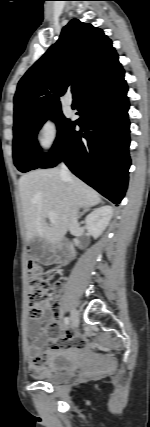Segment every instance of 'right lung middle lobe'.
<instances>
[{
    "label": "right lung middle lobe",
    "instance_id": "right-lung-middle-lobe-1",
    "mask_svg": "<svg viewBox=\"0 0 150 427\" xmlns=\"http://www.w3.org/2000/svg\"><path fill=\"white\" fill-rule=\"evenodd\" d=\"M50 118L56 122L58 128L56 144L69 122L62 115L60 106L49 108L14 123L13 159L15 166L21 172L38 168L49 156L50 153L43 156L38 155L40 148L36 140V135L44 122Z\"/></svg>",
    "mask_w": 150,
    "mask_h": 427
}]
</instances>
